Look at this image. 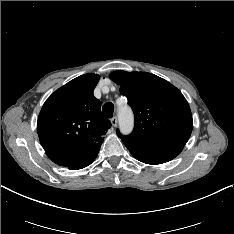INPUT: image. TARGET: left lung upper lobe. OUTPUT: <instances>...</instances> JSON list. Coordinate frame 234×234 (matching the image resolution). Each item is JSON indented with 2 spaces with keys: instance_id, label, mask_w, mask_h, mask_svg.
Returning <instances> with one entry per match:
<instances>
[{
  "instance_id": "left-lung-upper-lobe-1",
  "label": "left lung upper lobe",
  "mask_w": 234,
  "mask_h": 234,
  "mask_svg": "<svg viewBox=\"0 0 234 234\" xmlns=\"http://www.w3.org/2000/svg\"><path fill=\"white\" fill-rule=\"evenodd\" d=\"M111 79L128 98L135 118L133 132L124 141L148 147H181L193 128L191 110L182 93L168 81L147 72L115 71Z\"/></svg>"
}]
</instances>
